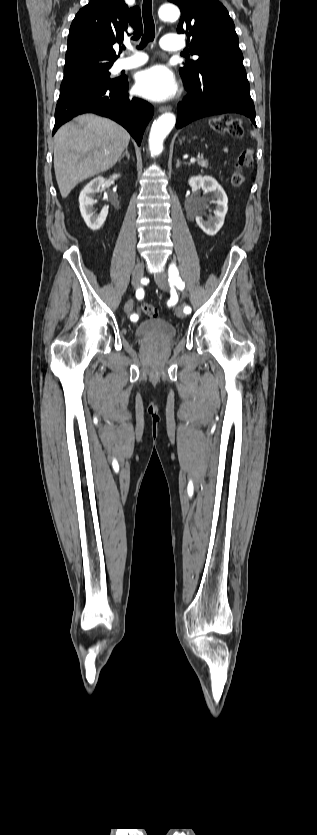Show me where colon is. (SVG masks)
Listing matches in <instances>:
<instances>
[{
    "label": "colon",
    "instance_id": "colon-1",
    "mask_svg": "<svg viewBox=\"0 0 317 835\" xmlns=\"http://www.w3.org/2000/svg\"><path fill=\"white\" fill-rule=\"evenodd\" d=\"M211 129L217 134H228L231 137L240 138L244 134L242 123L239 119H233L230 116L214 118L210 121ZM254 163V150L250 147L244 148L235 162L234 168L231 172V184L234 187H239L244 181V170L251 167ZM142 311L150 318L158 316L156 307L150 304H143Z\"/></svg>",
    "mask_w": 317,
    "mask_h": 835
}]
</instances>
